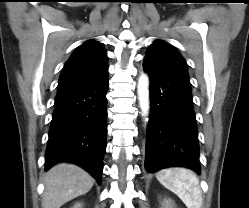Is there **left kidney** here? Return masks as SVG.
<instances>
[{
  "label": "left kidney",
  "mask_w": 249,
  "mask_h": 208,
  "mask_svg": "<svg viewBox=\"0 0 249 208\" xmlns=\"http://www.w3.org/2000/svg\"><path fill=\"white\" fill-rule=\"evenodd\" d=\"M168 201H166V205H165V207H163V208H171V207H168Z\"/></svg>",
  "instance_id": "1"
}]
</instances>
